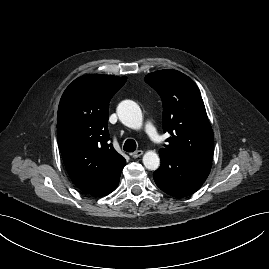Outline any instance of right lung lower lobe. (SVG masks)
<instances>
[{
    "instance_id": "1",
    "label": "right lung lower lobe",
    "mask_w": 269,
    "mask_h": 269,
    "mask_svg": "<svg viewBox=\"0 0 269 269\" xmlns=\"http://www.w3.org/2000/svg\"><path fill=\"white\" fill-rule=\"evenodd\" d=\"M120 174L117 175L116 178L113 181H111L110 183H108L107 185L102 187L101 189H99V190H97V191H95L93 193H90V195L99 197V196H104V195H107V194L111 193L118 186V183H119V180H120Z\"/></svg>"
}]
</instances>
